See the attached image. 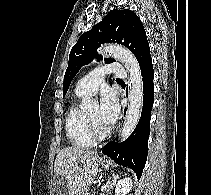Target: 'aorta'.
Masks as SVG:
<instances>
[{
	"instance_id": "762f6f07",
	"label": "aorta",
	"mask_w": 211,
	"mask_h": 195,
	"mask_svg": "<svg viewBox=\"0 0 211 195\" xmlns=\"http://www.w3.org/2000/svg\"><path fill=\"white\" fill-rule=\"evenodd\" d=\"M99 52L121 61L129 73V105L123 127L119 134V141L123 142L132 134L141 117L143 107V81L140 66L133 53L124 47L107 44L101 46ZM97 106L98 102L96 100L88 99L83 101L81 108L83 110H89Z\"/></svg>"
}]
</instances>
